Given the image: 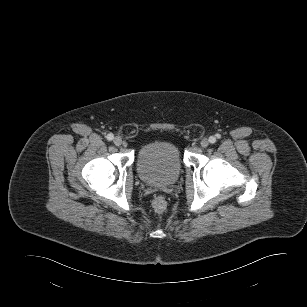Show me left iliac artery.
I'll return each mask as SVG.
<instances>
[{
  "instance_id": "44dca946",
  "label": "left iliac artery",
  "mask_w": 307,
  "mask_h": 307,
  "mask_svg": "<svg viewBox=\"0 0 307 307\" xmlns=\"http://www.w3.org/2000/svg\"><path fill=\"white\" fill-rule=\"evenodd\" d=\"M209 142L212 143V144L215 143L216 142V138L214 136H211L209 138Z\"/></svg>"
}]
</instances>
